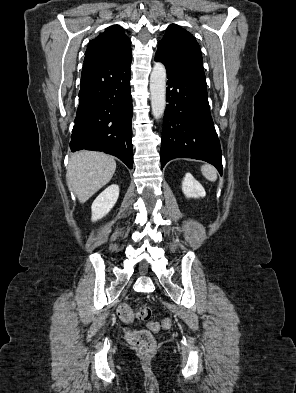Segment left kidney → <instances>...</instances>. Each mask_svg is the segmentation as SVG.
Listing matches in <instances>:
<instances>
[{"instance_id":"1","label":"left kidney","mask_w":296,"mask_h":393,"mask_svg":"<svg viewBox=\"0 0 296 393\" xmlns=\"http://www.w3.org/2000/svg\"><path fill=\"white\" fill-rule=\"evenodd\" d=\"M182 191L187 198L206 196V192L202 185L190 173L185 174L182 181Z\"/></svg>"}]
</instances>
